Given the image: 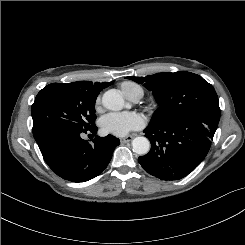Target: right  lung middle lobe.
<instances>
[{"instance_id": "obj_1", "label": "right lung middle lobe", "mask_w": 245, "mask_h": 245, "mask_svg": "<svg viewBox=\"0 0 245 245\" xmlns=\"http://www.w3.org/2000/svg\"><path fill=\"white\" fill-rule=\"evenodd\" d=\"M97 96L98 93L74 83H52L44 87L31 109L35 140L54 129L85 132L94 127Z\"/></svg>"}]
</instances>
